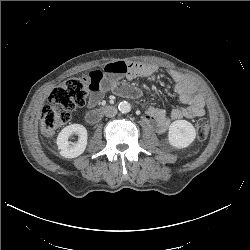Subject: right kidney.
Instances as JSON below:
<instances>
[{"mask_svg": "<svg viewBox=\"0 0 250 250\" xmlns=\"http://www.w3.org/2000/svg\"><path fill=\"white\" fill-rule=\"evenodd\" d=\"M72 134L78 135V141L71 145L68 140ZM59 153L64 158H76L80 156L87 146V130L80 124H71L61 130L57 137Z\"/></svg>", "mask_w": 250, "mask_h": 250, "instance_id": "right-kidney-1", "label": "right kidney"}]
</instances>
